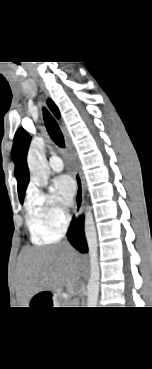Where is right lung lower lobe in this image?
<instances>
[{
    "label": "right lung lower lobe",
    "mask_w": 152,
    "mask_h": 369,
    "mask_svg": "<svg viewBox=\"0 0 152 369\" xmlns=\"http://www.w3.org/2000/svg\"><path fill=\"white\" fill-rule=\"evenodd\" d=\"M68 239L72 246L82 253L88 252L87 242L84 235L83 216L73 218L68 230Z\"/></svg>",
    "instance_id": "obj_1"
}]
</instances>
